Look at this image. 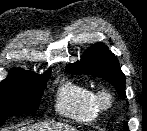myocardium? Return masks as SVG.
<instances>
[{"label": "myocardium", "instance_id": "obj_1", "mask_svg": "<svg viewBox=\"0 0 147 131\" xmlns=\"http://www.w3.org/2000/svg\"><path fill=\"white\" fill-rule=\"evenodd\" d=\"M95 101L99 111H105L113 105L114 96L109 90L102 89L96 92Z\"/></svg>", "mask_w": 147, "mask_h": 131}]
</instances>
